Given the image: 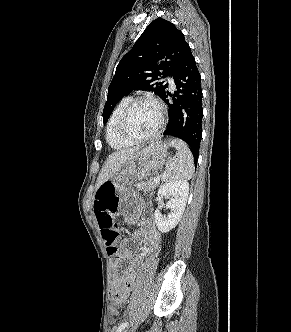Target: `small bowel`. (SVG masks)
<instances>
[{"label": "small bowel", "instance_id": "1", "mask_svg": "<svg viewBox=\"0 0 291 332\" xmlns=\"http://www.w3.org/2000/svg\"><path fill=\"white\" fill-rule=\"evenodd\" d=\"M104 189H113V186L110 182L102 183L97 189L95 199L97 195ZM95 201H94V212L97 217ZM137 236L142 239L143 251L137 254L136 256H133L132 252L129 249H127L125 245H123L121 252H119L118 254V258H116L114 261L113 270L116 273L120 260L124 259L133 260V264L126 271V273L122 277L116 274L112 281L111 298L119 303H123L129 298L131 291L136 282L138 266L148 258L157 256L161 250L162 236L161 233L155 227L153 221L146 220L142 224L140 230L138 231Z\"/></svg>", "mask_w": 291, "mask_h": 332}]
</instances>
